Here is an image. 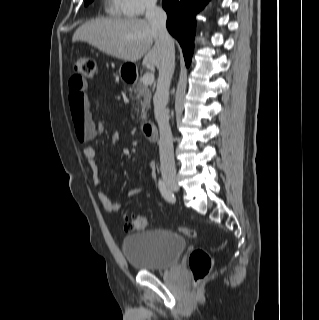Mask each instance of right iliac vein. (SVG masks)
Returning a JSON list of instances; mask_svg holds the SVG:
<instances>
[{"instance_id": "1", "label": "right iliac vein", "mask_w": 319, "mask_h": 320, "mask_svg": "<svg viewBox=\"0 0 319 320\" xmlns=\"http://www.w3.org/2000/svg\"><path fill=\"white\" fill-rule=\"evenodd\" d=\"M164 181L166 185L171 188L173 191H178L179 190V185L177 182V179L174 177H165Z\"/></svg>"}]
</instances>
